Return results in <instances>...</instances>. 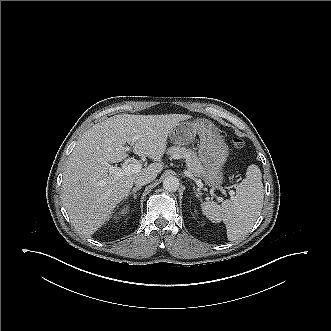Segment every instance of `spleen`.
Segmentation results:
<instances>
[{"label":"spleen","instance_id":"spleen-1","mask_svg":"<svg viewBox=\"0 0 331 331\" xmlns=\"http://www.w3.org/2000/svg\"><path fill=\"white\" fill-rule=\"evenodd\" d=\"M254 171V172H253ZM263 184L255 170L249 169L247 177L238 185L236 196L220 204L214 201L201 203L203 214L212 222L224 221L228 238L236 240L248 233L261 204Z\"/></svg>","mask_w":331,"mask_h":331}]
</instances>
